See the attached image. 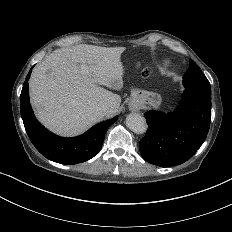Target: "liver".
<instances>
[{"label":"liver","mask_w":232,"mask_h":232,"mask_svg":"<svg viewBox=\"0 0 232 232\" xmlns=\"http://www.w3.org/2000/svg\"><path fill=\"white\" fill-rule=\"evenodd\" d=\"M125 50V47L77 45L49 54L34 68L29 82L38 118L55 132L73 135L104 115L117 113L120 96L102 86L117 91L123 88ZM82 64L88 66L87 71L81 69ZM104 105L112 112L103 114Z\"/></svg>","instance_id":"liver-1"}]
</instances>
